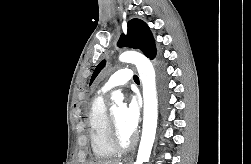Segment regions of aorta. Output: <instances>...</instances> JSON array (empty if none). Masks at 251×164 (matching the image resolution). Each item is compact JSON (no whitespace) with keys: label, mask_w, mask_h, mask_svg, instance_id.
<instances>
[{"label":"aorta","mask_w":251,"mask_h":164,"mask_svg":"<svg viewBox=\"0 0 251 164\" xmlns=\"http://www.w3.org/2000/svg\"><path fill=\"white\" fill-rule=\"evenodd\" d=\"M119 60L135 64L142 82L144 99L143 130L135 164H143L149 160L157 128L158 104L155 70L151 61L138 52H124L119 56ZM111 99L115 103H120L123 100V94L120 91H115L112 93Z\"/></svg>","instance_id":"1"}]
</instances>
